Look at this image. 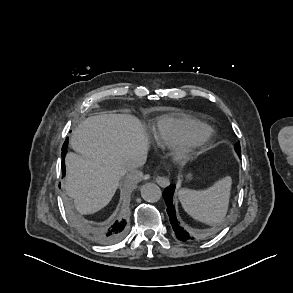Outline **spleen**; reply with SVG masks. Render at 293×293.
<instances>
[{"label":"spleen","instance_id":"3e777b00","mask_svg":"<svg viewBox=\"0 0 293 293\" xmlns=\"http://www.w3.org/2000/svg\"><path fill=\"white\" fill-rule=\"evenodd\" d=\"M232 179L226 176L204 190L183 188L178 197L183 209L195 220L209 225L220 224L228 211Z\"/></svg>","mask_w":293,"mask_h":293}]
</instances>
